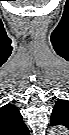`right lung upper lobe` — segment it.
Listing matches in <instances>:
<instances>
[{
    "label": "right lung upper lobe",
    "mask_w": 69,
    "mask_h": 135,
    "mask_svg": "<svg viewBox=\"0 0 69 135\" xmlns=\"http://www.w3.org/2000/svg\"><path fill=\"white\" fill-rule=\"evenodd\" d=\"M2 135H29V130L24 124L18 109L12 104H7L0 110Z\"/></svg>",
    "instance_id": "right-lung-upper-lobe-1"
}]
</instances>
